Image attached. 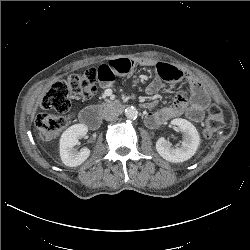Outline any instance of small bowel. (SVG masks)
<instances>
[{
  "mask_svg": "<svg viewBox=\"0 0 250 250\" xmlns=\"http://www.w3.org/2000/svg\"><path fill=\"white\" fill-rule=\"evenodd\" d=\"M135 65V62L127 58L110 60L100 65L97 71L101 86L107 88L117 76L131 74ZM156 73L157 77L146 87L148 95H155L161 91L165 87L162 81L183 82L187 85V93H180L169 106L155 108L147 117L148 124L157 126L182 114H186L192 121H201L204 109L208 105V96L200 82L186 71L165 63L156 65Z\"/></svg>",
  "mask_w": 250,
  "mask_h": 250,
  "instance_id": "obj_1",
  "label": "small bowel"
}]
</instances>
